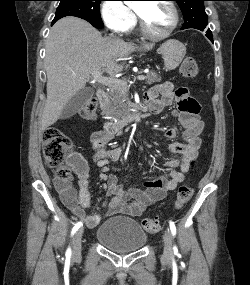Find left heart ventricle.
<instances>
[{"label": "left heart ventricle", "mask_w": 250, "mask_h": 285, "mask_svg": "<svg viewBox=\"0 0 250 285\" xmlns=\"http://www.w3.org/2000/svg\"><path fill=\"white\" fill-rule=\"evenodd\" d=\"M136 11L143 18L147 29L153 34H163L172 25V11L164 3L140 2L136 5Z\"/></svg>", "instance_id": "1"}]
</instances>
